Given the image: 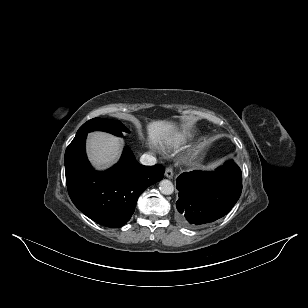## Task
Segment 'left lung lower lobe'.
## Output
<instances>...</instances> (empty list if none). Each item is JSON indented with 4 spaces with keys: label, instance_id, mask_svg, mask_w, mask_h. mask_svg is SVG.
<instances>
[{
    "label": "left lung lower lobe",
    "instance_id": "1",
    "mask_svg": "<svg viewBox=\"0 0 308 308\" xmlns=\"http://www.w3.org/2000/svg\"><path fill=\"white\" fill-rule=\"evenodd\" d=\"M176 207L183 224L200 226L225 216L242 191L240 168L231 160L215 172L182 173L176 181Z\"/></svg>",
    "mask_w": 308,
    "mask_h": 308
}]
</instances>
